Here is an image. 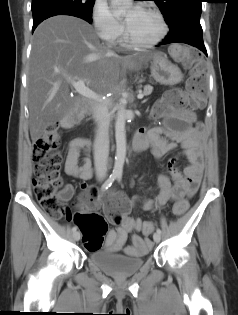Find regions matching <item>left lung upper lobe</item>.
Masks as SVG:
<instances>
[{
  "instance_id": "5c2ea615",
  "label": "left lung upper lobe",
  "mask_w": 238,
  "mask_h": 315,
  "mask_svg": "<svg viewBox=\"0 0 238 315\" xmlns=\"http://www.w3.org/2000/svg\"><path fill=\"white\" fill-rule=\"evenodd\" d=\"M170 29L176 27L179 22L191 15H201L202 0H154Z\"/></svg>"
}]
</instances>
